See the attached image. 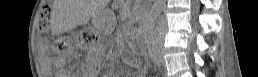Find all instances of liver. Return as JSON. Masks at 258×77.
I'll return each instance as SVG.
<instances>
[{
    "instance_id": "obj_1",
    "label": "liver",
    "mask_w": 258,
    "mask_h": 77,
    "mask_svg": "<svg viewBox=\"0 0 258 77\" xmlns=\"http://www.w3.org/2000/svg\"><path fill=\"white\" fill-rule=\"evenodd\" d=\"M54 10L57 19L70 27H75L83 22L85 16L91 15L89 7L78 0H56Z\"/></svg>"
}]
</instances>
